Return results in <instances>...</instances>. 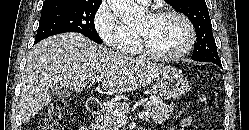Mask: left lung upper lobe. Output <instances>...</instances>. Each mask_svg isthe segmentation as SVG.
I'll return each instance as SVG.
<instances>
[{"label":"left lung upper lobe","instance_id":"1","mask_svg":"<svg viewBox=\"0 0 249 130\" xmlns=\"http://www.w3.org/2000/svg\"><path fill=\"white\" fill-rule=\"evenodd\" d=\"M166 2L176 11L185 14L195 28L197 43L192 59L205 62L220 61L205 0H166Z\"/></svg>","mask_w":249,"mask_h":130}]
</instances>
